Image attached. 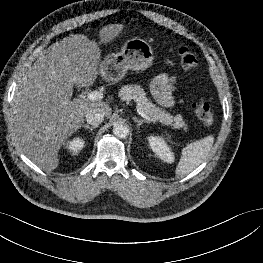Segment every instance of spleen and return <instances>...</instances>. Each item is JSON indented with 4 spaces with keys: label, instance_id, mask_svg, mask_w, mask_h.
<instances>
[{
    "label": "spleen",
    "instance_id": "spleen-1",
    "mask_svg": "<svg viewBox=\"0 0 263 263\" xmlns=\"http://www.w3.org/2000/svg\"><path fill=\"white\" fill-rule=\"evenodd\" d=\"M214 142L213 136H207L188 144L182 149L180 161L175 169L177 176H184L197 168L210 153Z\"/></svg>",
    "mask_w": 263,
    "mask_h": 263
}]
</instances>
